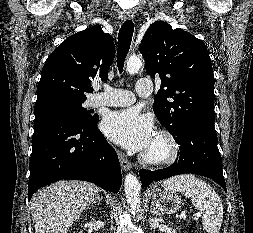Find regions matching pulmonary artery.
<instances>
[{"mask_svg":"<svg viewBox=\"0 0 253 233\" xmlns=\"http://www.w3.org/2000/svg\"><path fill=\"white\" fill-rule=\"evenodd\" d=\"M153 85L151 80L141 78L138 80L135 91L140 97H148L152 93ZM136 96L133 92L123 89L105 86L104 92L98 94L94 100V106H128L134 103Z\"/></svg>","mask_w":253,"mask_h":233,"instance_id":"1","label":"pulmonary artery"}]
</instances>
